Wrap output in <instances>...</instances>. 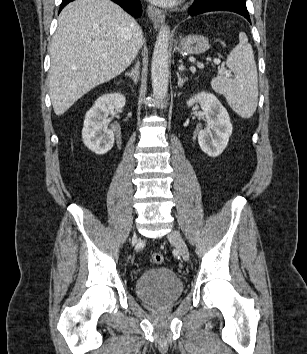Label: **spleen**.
<instances>
[{
    "label": "spleen",
    "mask_w": 307,
    "mask_h": 354,
    "mask_svg": "<svg viewBox=\"0 0 307 354\" xmlns=\"http://www.w3.org/2000/svg\"><path fill=\"white\" fill-rule=\"evenodd\" d=\"M226 65L234 79L215 77L212 88L226 98L229 106L242 118H250L258 104V73L252 46L244 33L239 34V44L227 56Z\"/></svg>",
    "instance_id": "3e777b00"
}]
</instances>
